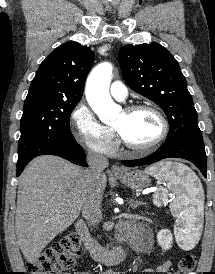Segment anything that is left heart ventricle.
<instances>
[{
    "instance_id": "left-heart-ventricle-1",
    "label": "left heart ventricle",
    "mask_w": 215,
    "mask_h": 274,
    "mask_svg": "<svg viewBox=\"0 0 215 274\" xmlns=\"http://www.w3.org/2000/svg\"><path fill=\"white\" fill-rule=\"evenodd\" d=\"M113 126L128 142L135 145L152 142L161 131L158 117L149 110H138L133 113L122 111Z\"/></svg>"
}]
</instances>
